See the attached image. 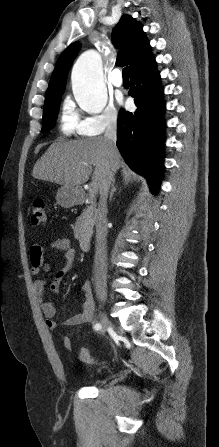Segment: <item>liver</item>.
Here are the masks:
<instances>
[{
    "label": "liver",
    "mask_w": 219,
    "mask_h": 447,
    "mask_svg": "<svg viewBox=\"0 0 219 447\" xmlns=\"http://www.w3.org/2000/svg\"><path fill=\"white\" fill-rule=\"evenodd\" d=\"M113 161L116 170L123 165L117 148ZM110 165L107 143L103 137L56 142L35 163L32 176L39 180L74 187L88 181L94 166L92 181L100 190Z\"/></svg>",
    "instance_id": "liver-1"
}]
</instances>
